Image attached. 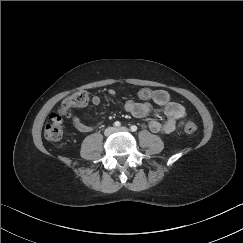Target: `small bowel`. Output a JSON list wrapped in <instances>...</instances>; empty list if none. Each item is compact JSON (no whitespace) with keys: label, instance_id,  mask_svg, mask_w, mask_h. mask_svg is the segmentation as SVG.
<instances>
[{"label":"small bowel","instance_id":"small-bowel-1","mask_svg":"<svg viewBox=\"0 0 243 243\" xmlns=\"http://www.w3.org/2000/svg\"><path fill=\"white\" fill-rule=\"evenodd\" d=\"M149 95L145 96L144 93ZM110 95L114 94L113 90H109ZM139 97L143 101H135L129 99L125 102L124 108L132 116L136 118H144L150 113L153 107L162 108L167 120L162 123L157 118H153L149 122V128L154 133L169 134L175 131L179 122L185 117L186 111L183 105L170 100V95L166 90L158 89L151 92L149 89L143 88L139 91ZM92 103L98 105L101 103L100 96H93ZM72 122L74 127L81 132H90L93 126L86 124L79 116L72 115Z\"/></svg>","mask_w":243,"mask_h":243}]
</instances>
